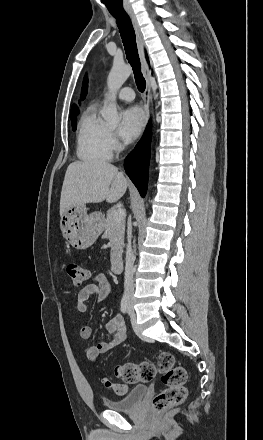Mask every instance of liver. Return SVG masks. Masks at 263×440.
Masks as SVG:
<instances>
[{"label":"liver","instance_id":"1","mask_svg":"<svg viewBox=\"0 0 263 440\" xmlns=\"http://www.w3.org/2000/svg\"><path fill=\"white\" fill-rule=\"evenodd\" d=\"M128 181L118 168L107 162L71 163L66 170L61 198L60 216L68 207L86 203L118 201L126 192Z\"/></svg>","mask_w":263,"mask_h":440}]
</instances>
